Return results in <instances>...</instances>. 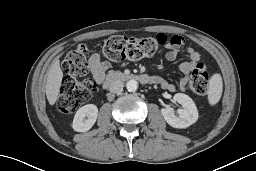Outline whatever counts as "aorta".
<instances>
[{
  "label": "aorta",
  "instance_id": "762f6f07",
  "mask_svg": "<svg viewBox=\"0 0 256 171\" xmlns=\"http://www.w3.org/2000/svg\"><path fill=\"white\" fill-rule=\"evenodd\" d=\"M126 88L128 91L130 92H134L137 90L138 88V82L134 79L132 80H129L127 83H126Z\"/></svg>",
  "mask_w": 256,
  "mask_h": 171
}]
</instances>
